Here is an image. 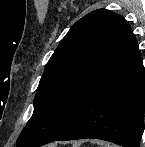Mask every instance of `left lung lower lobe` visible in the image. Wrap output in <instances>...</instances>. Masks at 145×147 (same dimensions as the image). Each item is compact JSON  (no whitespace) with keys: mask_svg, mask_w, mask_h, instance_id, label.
I'll use <instances>...</instances> for the list:
<instances>
[{"mask_svg":"<svg viewBox=\"0 0 145 147\" xmlns=\"http://www.w3.org/2000/svg\"><path fill=\"white\" fill-rule=\"evenodd\" d=\"M144 110V67L135 36L125 21L76 117L54 140L95 138L139 147Z\"/></svg>","mask_w":145,"mask_h":147,"instance_id":"obj_1","label":"left lung lower lobe"}]
</instances>
